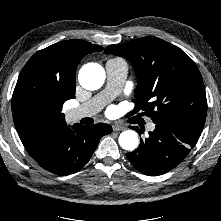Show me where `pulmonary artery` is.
Segmentation results:
<instances>
[{
    "instance_id": "pulmonary-artery-1",
    "label": "pulmonary artery",
    "mask_w": 221,
    "mask_h": 221,
    "mask_svg": "<svg viewBox=\"0 0 221 221\" xmlns=\"http://www.w3.org/2000/svg\"><path fill=\"white\" fill-rule=\"evenodd\" d=\"M105 69L107 74L106 88L88 102L70 110L68 112L70 121H77L95 115L121 91L128 71L126 61L120 58L109 59L105 64ZM148 129L153 131L155 124L150 123Z\"/></svg>"
}]
</instances>
